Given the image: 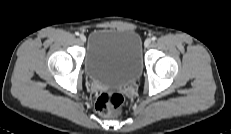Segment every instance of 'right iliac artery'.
<instances>
[{
  "mask_svg": "<svg viewBox=\"0 0 231 134\" xmlns=\"http://www.w3.org/2000/svg\"><path fill=\"white\" fill-rule=\"evenodd\" d=\"M75 35H76V36H79V32H75Z\"/></svg>",
  "mask_w": 231,
  "mask_h": 134,
  "instance_id": "1",
  "label": "right iliac artery"
}]
</instances>
